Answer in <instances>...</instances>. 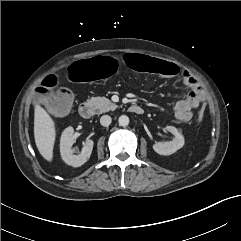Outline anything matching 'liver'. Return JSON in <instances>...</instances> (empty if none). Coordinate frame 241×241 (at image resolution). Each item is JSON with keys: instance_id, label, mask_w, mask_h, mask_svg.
Returning a JSON list of instances; mask_svg holds the SVG:
<instances>
[{"instance_id": "6515ba94", "label": "liver", "mask_w": 241, "mask_h": 241, "mask_svg": "<svg viewBox=\"0 0 241 241\" xmlns=\"http://www.w3.org/2000/svg\"><path fill=\"white\" fill-rule=\"evenodd\" d=\"M55 123L50 115L40 105L34 109V138L39 153L51 162L55 143Z\"/></svg>"}]
</instances>
